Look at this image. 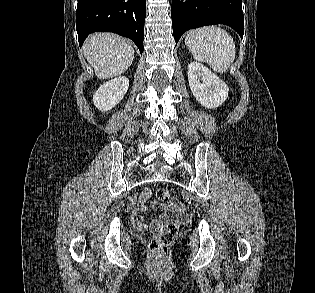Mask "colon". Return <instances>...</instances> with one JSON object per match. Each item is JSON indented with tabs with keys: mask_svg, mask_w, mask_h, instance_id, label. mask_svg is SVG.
<instances>
[{
	"mask_svg": "<svg viewBox=\"0 0 315 293\" xmlns=\"http://www.w3.org/2000/svg\"><path fill=\"white\" fill-rule=\"evenodd\" d=\"M156 199L161 204H168L176 211V222H183L185 220L186 217L182 203L167 190L158 189L156 191ZM176 222L167 221L163 224L162 230H155V234L149 242V249L155 258L160 260L167 259L169 247L177 233Z\"/></svg>",
	"mask_w": 315,
	"mask_h": 293,
	"instance_id": "1",
	"label": "colon"
}]
</instances>
